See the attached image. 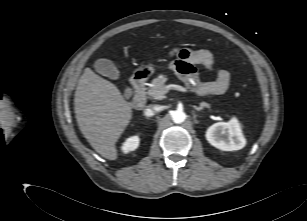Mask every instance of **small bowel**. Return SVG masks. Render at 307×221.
Masks as SVG:
<instances>
[{
    "label": "small bowel",
    "mask_w": 307,
    "mask_h": 221,
    "mask_svg": "<svg viewBox=\"0 0 307 221\" xmlns=\"http://www.w3.org/2000/svg\"><path fill=\"white\" fill-rule=\"evenodd\" d=\"M213 64L214 57L208 49H183V56L172 64V69L180 76H187L196 73L194 65H202L211 70ZM229 84L230 73L226 70H219L214 81L205 82L201 85V92L220 95L227 91Z\"/></svg>",
    "instance_id": "small-bowel-1"
}]
</instances>
